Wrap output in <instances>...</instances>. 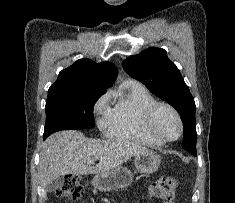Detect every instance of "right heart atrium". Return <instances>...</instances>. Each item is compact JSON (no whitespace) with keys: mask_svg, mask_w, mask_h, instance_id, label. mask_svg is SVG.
Returning a JSON list of instances; mask_svg holds the SVG:
<instances>
[{"mask_svg":"<svg viewBox=\"0 0 235 203\" xmlns=\"http://www.w3.org/2000/svg\"><path fill=\"white\" fill-rule=\"evenodd\" d=\"M109 98V93H105L96 101L94 105V113L96 115H107Z\"/></svg>","mask_w":235,"mask_h":203,"instance_id":"right-heart-atrium-1","label":"right heart atrium"}]
</instances>
